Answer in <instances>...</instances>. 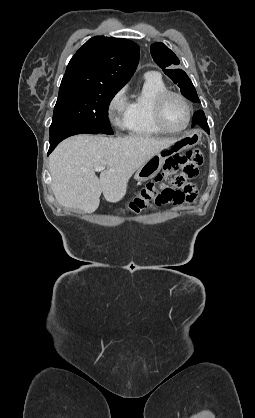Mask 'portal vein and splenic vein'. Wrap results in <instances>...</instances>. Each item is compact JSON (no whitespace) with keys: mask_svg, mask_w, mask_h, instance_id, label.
Here are the masks:
<instances>
[{"mask_svg":"<svg viewBox=\"0 0 255 418\" xmlns=\"http://www.w3.org/2000/svg\"><path fill=\"white\" fill-rule=\"evenodd\" d=\"M105 169L104 166H98L95 168V171H103Z\"/></svg>","mask_w":255,"mask_h":418,"instance_id":"portal-vein-and-splenic-vein-1","label":"portal vein and splenic vein"}]
</instances>
